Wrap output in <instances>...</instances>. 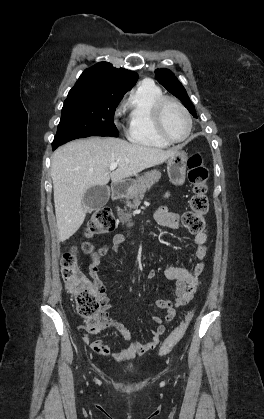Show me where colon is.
<instances>
[{
    "instance_id": "5ec220e1",
    "label": "colon",
    "mask_w": 264,
    "mask_h": 419,
    "mask_svg": "<svg viewBox=\"0 0 264 419\" xmlns=\"http://www.w3.org/2000/svg\"><path fill=\"white\" fill-rule=\"evenodd\" d=\"M188 180L192 195L189 200V210L182 215V225L191 233H198L204 228V217L209 209L207 198L208 171L199 154L192 155L188 160ZM116 227L113 214L107 208L97 210L84 229V235L91 238L97 234L109 233ZM86 253L93 254V247L86 243L83 246ZM97 256H95L96 258ZM62 277L67 291L73 296L78 314L84 319L89 332L97 330L101 323L100 313L104 302L91 283L77 268L76 253L68 251L62 258ZM192 312L170 333L158 350L159 356L167 355L183 338Z\"/></svg>"
}]
</instances>
